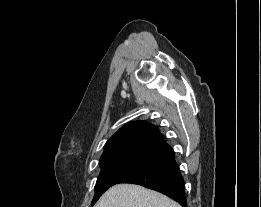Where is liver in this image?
I'll return each mask as SVG.
<instances>
[{
    "label": "liver",
    "instance_id": "liver-1",
    "mask_svg": "<svg viewBox=\"0 0 261 207\" xmlns=\"http://www.w3.org/2000/svg\"><path fill=\"white\" fill-rule=\"evenodd\" d=\"M95 207H181L167 196L134 184H117L107 190Z\"/></svg>",
    "mask_w": 261,
    "mask_h": 207
}]
</instances>
